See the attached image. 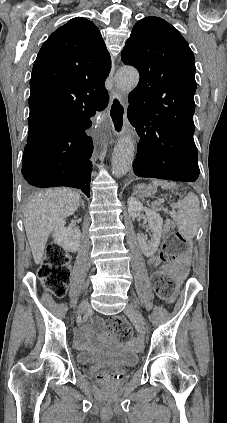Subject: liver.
I'll return each instance as SVG.
<instances>
[{"instance_id":"obj_1","label":"liver","mask_w":227,"mask_h":423,"mask_svg":"<svg viewBox=\"0 0 227 423\" xmlns=\"http://www.w3.org/2000/svg\"><path fill=\"white\" fill-rule=\"evenodd\" d=\"M81 198L70 188L44 190L30 196L24 208V227L35 263H41L55 225L78 210Z\"/></svg>"}]
</instances>
